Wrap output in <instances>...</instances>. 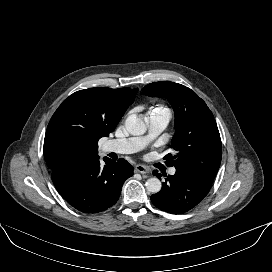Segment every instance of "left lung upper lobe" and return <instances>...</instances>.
<instances>
[{"label":"left lung upper lobe","mask_w":272,"mask_h":272,"mask_svg":"<svg viewBox=\"0 0 272 272\" xmlns=\"http://www.w3.org/2000/svg\"><path fill=\"white\" fill-rule=\"evenodd\" d=\"M142 92L167 98L175 112L176 132L171 144L175 154L164 157L166 165L214 180L221 163L222 144L206 103L188 87L171 81L148 84Z\"/></svg>","instance_id":"5c2ea615"}]
</instances>
